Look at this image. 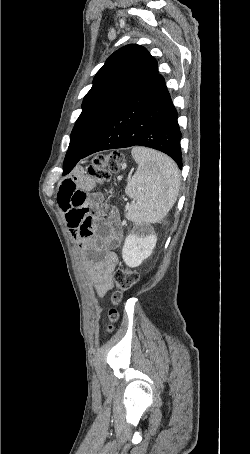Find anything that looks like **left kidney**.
<instances>
[{"label":"left kidney","instance_id":"1","mask_svg":"<svg viewBox=\"0 0 250 454\" xmlns=\"http://www.w3.org/2000/svg\"><path fill=\"white\" fill-rule=\"evenodd\" d=\"M157 236L142 230L129 234L122 248V258L129 267H138L147 259L156 246Z\"/></svg>","mask_w":250,"mask_h":454}]
</instances>
